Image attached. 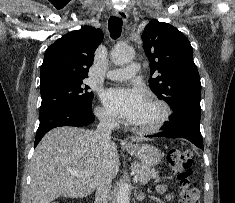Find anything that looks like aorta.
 <instances>
[{"label": "aorta", "instance_id": "762f6f07", "mask_svg": "<svg viewBox=\"0 0 235 203\" xmlns=\"http://www.w3.org/2000/svg\"><path fill=\"white\" fill-rule=\"evenodd\" d=\"M134 55V50L131 47L119 43L112 49L110 58L115 65H124L131 62ZM116 203H130V192L127 184H122L119 188Z\"/></svg>", "mask_w": 235, "mask_h": 203}]
</instances>
